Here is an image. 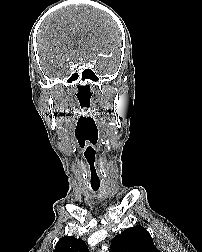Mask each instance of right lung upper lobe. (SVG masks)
<instances>
[{
    "label": "right lung upper lobe",
    "mask_w": 202,
    "mask_h": 252,
    "mask_svg": "<svg viewBox=\"0 0 202 252\" xmlns=\"http://www.w3.org/2000/svg\"><path fill=\"white\" fill-rule=\"evenodd\" d=\"M53 252H89L85 242L73 236L61 238Z\"/></svg>",
    "instance_id": "1"
}]
</instances>
